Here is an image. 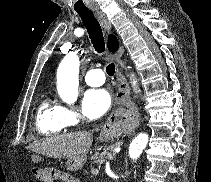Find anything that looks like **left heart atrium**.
<instances>
[{
  "mask_svg": "<svg viewBox=\"0 0 211 182\" xmlns=\"http://www.w3.org/2000/svg\"><path fill=\"white\" fill-rule=\"evenodd\" d=\"M111 106V96L104 89L88 90L83 98L84 114L90 119L102 117Z\"/></svg>",
  "mask_w": 211,
  "mask_h": 182,
  "instance_id": "left-heart-atrium-1",
  "label": "left heart atrium"
}]
</instances>
